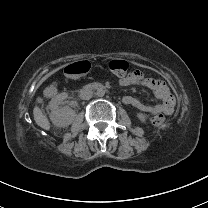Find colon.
<instances>
[{"label":"colon","mask_w":208,"mask_h":208,"mask_svg":"<svg viewBox=\"0 0 208 208\" xmlns=\"http://www.w3.org/2000/svg\"><path fill=\"white\" fill-rule=\"evenodd\" d=\"M128 69V63L124 60H112L109 64V70L120 76H124ZM92 70V65L88 61H82L77 63L75 66L69 64L64 69V74L67 78H74L77 76H82L83 74H88ZM151 123L154 127H161L165 123V118L163 115H156L151 119Z\"/></svg>","instance_id":"colon-1"}]
</instances>
